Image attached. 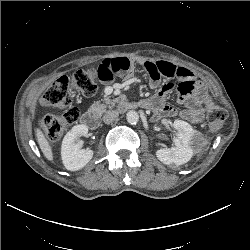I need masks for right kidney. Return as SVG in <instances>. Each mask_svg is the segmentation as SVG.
Segmentation results:
<instances>
[{
	"label": "right kidney",
	"mask_w": 250,
	"mask_h": 250,
	"mask_svg": "<svg viewBox=\"0 0 250 250\" xmlns=\"http://www.w3.org/2000/svg\"><path fill=\"white\" fill-rule=\"evenodd\" d=\"M88 127L86 125L74 126L64 137L61 147V157L67 170L76 171L82 169L93 157L90 149H80L76 140L86 136Z\"/></svg>",
	"instance_id": "ca27d5eb"
}]
</instances>
